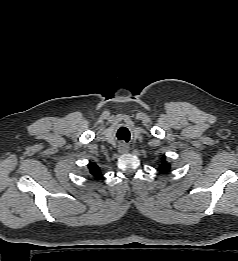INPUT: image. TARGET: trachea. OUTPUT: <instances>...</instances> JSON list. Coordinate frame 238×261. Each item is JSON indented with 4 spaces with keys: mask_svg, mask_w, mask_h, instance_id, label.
I'll use <instances>...</instances> for the list:
<instances>
[{
    "mask_svg": "<svg viewBox=\"0 0 238 261\" xmlns=\"http://www.w3.org/2000/svg\"><path fill=\"white\" fill-rule=\"evenodd\" d=\"M117 138L128 142L130 140V132L127 128L121 127L117 132Z\"/></svg>",
    "mask_w": 238,
    "mask_h": 261,
    "instance_id": "3493384b",
    "label": "trachea"
}]
</instances>
